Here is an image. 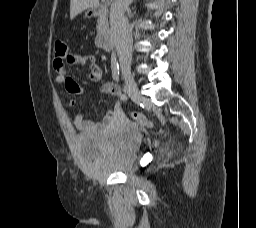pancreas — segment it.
<instances>
[{"instance_id":"obj_1","label":"pancreas","mask_w":256,"mask_h":228,"mask_svg":"<svg viewBox=\"0 0 256 228\" xmlns=\"http://www.w3.org/2000/svg\"><path fill=\"white\" fill-rule=\"evenodd\" d=\"M109 25H108V12L105 11L98 19L97 21V30L102 31V30H108Z\"/></svg>"}]
</instances>
